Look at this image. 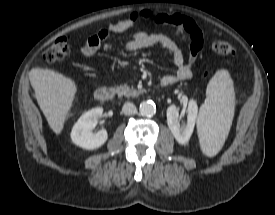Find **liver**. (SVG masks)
I'll return each instance as SVG.
<instances>
[{
	"instance_id": "1",
	"label": "liver",
	"mask_w": 275,
	"mask_h": 215,
	"mask_svg": "<svg viewBox=\"0 0 275 215\" xmlns=\"http://www.w3.org/2000/svg\"><path fill=\"white\" fill-rule=\"evenodd\" d=\"M29 79L50 128L60 134L73 106L77 92L75 82L54 70L41 68H33L29 72Z\"/></svg>"
}]
</instances>
